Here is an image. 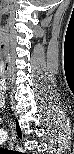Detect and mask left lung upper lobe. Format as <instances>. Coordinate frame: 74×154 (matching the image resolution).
<instances>
[{"label": "left lung upper lobe", "instance_id": "obj_1", "mask_svg": "<svg viewBox=\"0 0 74 154\" xmlns=\"http://www.w3.org/2000/svg\"><path fill=\"white\" fill-rule=\"evenodd\" d=\"M17 134H18L19 137H21V130H20L19 126H18V123H17Z\"/></svg>", "mask_w": 74, "mask_h": 154}]
</instances>
